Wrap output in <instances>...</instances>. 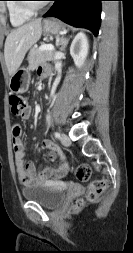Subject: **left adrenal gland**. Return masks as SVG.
I'll return each instance as SVG.
<instances>
[{"label":"left adrenal gland","instance_id":"obj_1","mask_svg":"<svg viewBox=\"0 0 133 253\" xmlns=\"http://www.w3.org/2000/svg\"><path fill=\"white\" fill-rule=\"evenodd\" d=\"M70 37H72V36H70ZM69 38L61 37L59 39V44L61 45V51L65 50V48H66V46H67V44L69 42Z\"/></svg>","mask_w":133,"mask_h":253}]
</instances>
